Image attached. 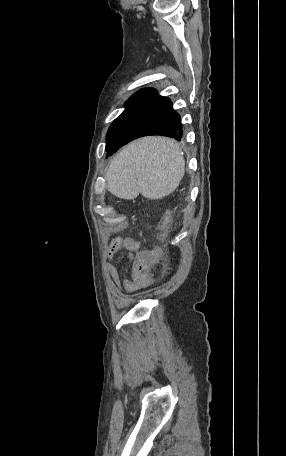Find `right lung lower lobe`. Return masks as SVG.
<instances>
[{
	"label": "right lung lower lobe",
	"instance_id": "1",
	"mask_svg": "<svg viewBox=\"0 0 286 456\" xmlns=\"http://www.w3.org/2000/svg\"><path fill=\"white\" fill-rule=\"evenodd\" d=\"M126 105L122 116L128 136L118 149L127 142L146 135H163L178 141L183 138L180 115L174 111L169 98L159 96L155 89L138 91Z\"/></svg>",
	"mask_w": 286,
	"mask_h": 456
}]
</instances>
